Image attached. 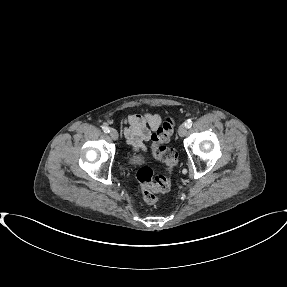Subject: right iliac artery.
<instances>
[{
	"mask_svg": "<svg viewBox=\"0 0 287 287\" xmlns=\"http://www.w3.org/2000/svg\"><path fill=\"white\" fill-rule=\"evenodd\" d=\"M102 130H103L105 133H109V132H110L109 127H107V126H103V127H102Z\"/></svg>",
	"mask_w": 287,
	"mask_h": 287,
	"instance_id": "right-iliac-artery-1",
	"label": "right iliac artery"
}]
</instances>
